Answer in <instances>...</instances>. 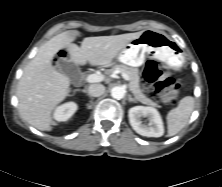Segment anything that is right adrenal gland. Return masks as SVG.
<instances>
[{
	"label": "right adrenal gland",
	"instance_id": "right-adrenal-gland-1",
	"mask_svg": "<svg viewBox=\"0 0 222 187\" xmlns=\"http://www.w3.org/2000/svg\"><path fill=\"white\" fill-rule=\"evenodd\" d=\"M84 93H86L89 96V98L92 99V97L90 96L89 92L84 91Z\"/></svg>",
	"mask_w": 222,
	"mask_h": 187
}]
</instances>
